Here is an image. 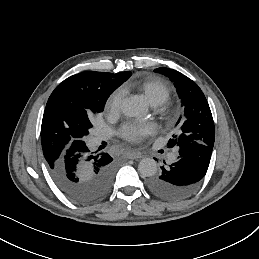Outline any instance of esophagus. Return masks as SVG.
Wrapping results in <instances>:
<instances>
[{
  "label": "esophagus",
  "mask_w": 259,
  "mask_h": 259,
  "mask_svg": "<svg viewBox=\"0 0 259 259\" xmlns=\"http://www.w3.org/2000/svg\"><path fill=\"white\" fill-rule=\"evenodd\" d=\"M126 158H128V159L141 158V153L140 152H135V151H128L126 153Z\"/></svg>",
  "instance_id": "34e87169"
}]
</instances>
